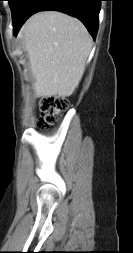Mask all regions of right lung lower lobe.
<instances>
[{
    "label": "right lung lower lobe",
    "mask_w": 133,
    "mask_h": 253,
    "mask_svg": "<svg viewBox=\"0 0 133 253\" xmlns=\"http://www.w3.org/2000/svg\"><path fill=\"white\" fill-rule=\"evenodd\" d=\"M102 0H25L18 20L13 24L16 35L28 17L39 11L55 10L78 18L95 39Z\"/></svg>",
    "instance_id": "98d812e1"
}]
</instances>
